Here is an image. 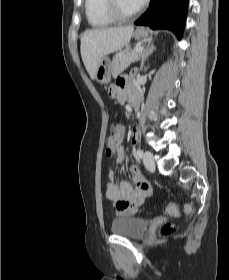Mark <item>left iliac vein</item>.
Segmentation results:
<instances>
[{"mask_svg": "<svg viewBox=\"0 0 229 280\" xmlns=\"http://www.w3.org/2000/svg\"><path fill=\"white\" fill-rule=\"evenodd\" d=\"M143 163L148 170H154L155 161L153 154L150 151H145L143 156Z\"/></svg>", "mask_w": 229, "mask_h": 280, "instance_id": "obj_1", "label": "left iliac vein"}]
</instances>
